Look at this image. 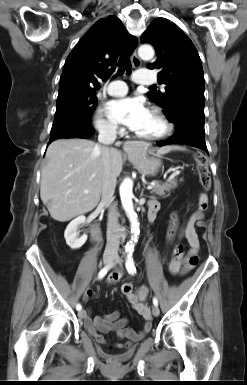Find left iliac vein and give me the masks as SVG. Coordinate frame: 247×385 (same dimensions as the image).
Returning <instances> with one entry per match:
<instances>
[{"instance_id":"4c4485c4","label":"left iliac vein","mask_w":247,"mask_h":385,"mask_svg":"<svg viewBox=\"0 0 247 385\" xmlns=\"http://www.w3.org/2000/svg\"><path fill=\"white\" fill-rule=\"evenodd\" d=\"M115 261H116V263H118V264H121V263H122V259H121L119 256H117V257L115 258ZM152 313H153L154 316H158V315L160 314L159 308H158L157 306H153V308H152Z\"/></svg>"}]
</instances>
